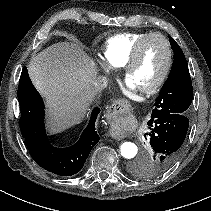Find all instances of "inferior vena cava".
Returning <instances> with one entry per match:
<instances>
[{"label":"inferior vena cava","mask_w":211,"mask_h":211,"mask_svg":"<svg viewBox=\"0 0 211 211\" xmlns=\"http://www.w3.org/2000/svg\"><path fill=\"white\" fill-rule=\"evenodd\" d=\"M95 86L99 88V91H97V96H102V92H104V88L107 86V81L102 80L97 83H95Z\"/></svg>","instance_id":"obj_1"}]
</instances>
